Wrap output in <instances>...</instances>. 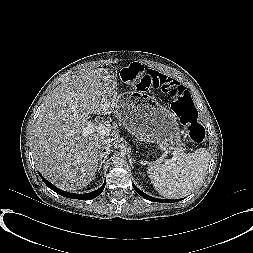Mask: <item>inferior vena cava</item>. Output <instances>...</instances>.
Listing matches in <instances>:
<instances>
[{
    "instance_id": "obj_1",
    "label": "inferior vena cava",
    "mask_w": 253,
    "mask_h": 253,
    "mask_svg": "<svg viewBox=\"0 0 253 253\" xmlns=\"http://www.w3.org/2000/svg\"><path fill=\"white\" fill-rule=\"evenodd\" d=\"M110 147H111V145H106L104 149H105L106 151H111V150H110Z\"/></svg>"
}]
</instances>
